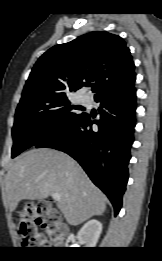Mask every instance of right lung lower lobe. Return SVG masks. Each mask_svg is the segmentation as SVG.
Returning <instances> with one entry per match:
<instances>
[{
    "label": "right lung lower lobe",
    "mask_w": 162,
    "mask_h": 261,
    "mask_svg": "<svg viewBox=\"0 0 162 261\" xmlns=\"http://www.w3.org/2000/svg\"><path fill=\"white\" fill-rule=\"evenodd\" d=\"M95 100L100 102V120L93 121L88 114H84L37 143L36 148L57 149L77 160L93 183L108 196L117 215L129 177L136 90L133 84L102 94ZM93 123L98 125V130H92Z\"/></svg>",
    "instance_id": "98d812e1"
}]
</instances>
